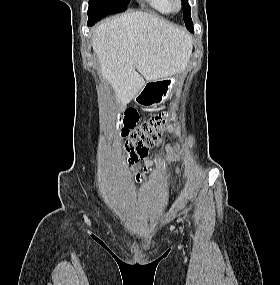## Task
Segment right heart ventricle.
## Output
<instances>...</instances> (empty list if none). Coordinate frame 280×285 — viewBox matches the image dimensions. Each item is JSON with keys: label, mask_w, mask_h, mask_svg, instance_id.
Listing matches in <instances>:
<instances>
[{"label": "right heart ventricle", "mask_w": 280, "mask_h": 285, "mask_svg": "<svg viewBox=\"0 0 280 285\" xmlns=\"http://www.w3.org/2000/svg\"><path fill=\"white\" fill-rule=\"evenodd\" d=\"M144 2L160 13L168 14L172 12L168 0H144Z\"/></svg>", "instance_id": "obj_1"}]
</instances>
